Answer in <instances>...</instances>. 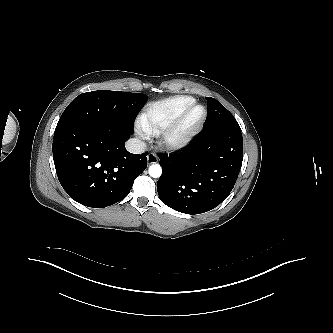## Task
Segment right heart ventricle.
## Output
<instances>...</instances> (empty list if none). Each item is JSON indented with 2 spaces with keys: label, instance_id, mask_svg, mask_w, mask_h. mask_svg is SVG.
<instances>
[{
  "label": "right heart ventricle",
  "instance_id": "obj_1",
  "mask_svg": "<svg viewBox=\"0 0 333 333\" xmlns=\"http://www.w3.org/2000/svg\"><path fill=\"white\" fill-rule=\"evenodd\" d=\"M195 100L189 96H173L146 106L139 118L140 128L149 135L166 129Z\"/></svg>",
  "mask_w": 333,
  "mask_h": 333
}]
</instances>
